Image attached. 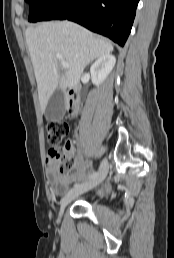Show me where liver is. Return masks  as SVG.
Returning <instances> with one entry per match:
<instances>
[{
    "label": "liver",
    "mask_w": 174,
    "mask_h": 258,
    "mask_svg": "<svg viewBox=\"0 0 174 258\" xmlns=\"http://www.w3.org/2000/svg\"><path fill=\"white\" fill-rule=\"evenodd\" d=\"M25 38L37 81L41 110L45 111L53 92L74 88L90 62L111 53L110 41L98 38L87 29L69 21L47 22L30 27ZM57 55L69 64L61 74Z\"/></svg>",
    "instance_id": "6515ba94"
}]
</instances>
